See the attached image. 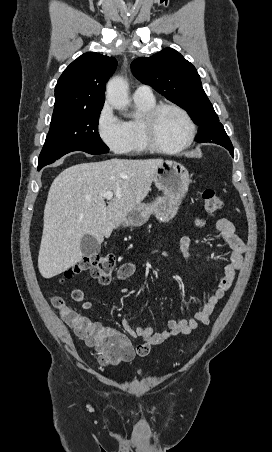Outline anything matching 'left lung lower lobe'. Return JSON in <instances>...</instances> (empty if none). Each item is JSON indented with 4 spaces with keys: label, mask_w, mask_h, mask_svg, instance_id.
<instances>
[{
    "label": "left lung lower lobe",
    "mask_w": 272,
    "mask_h": 452,
    "mask_svg": "<svg viewBox=\"0 0 272 452\" xmlns=\"http://www.w3.org/2000/svg\"><path fill=\"white\" fill-rule=\"evenodd\" d=\"M219 145L225 147L230 152V154L232 156H234V149H233V146H232V143H231L230 140L229 141H225V142H221Z\"/></svg>",
    "instance_id": "0a47b994"
}]
</instances>
